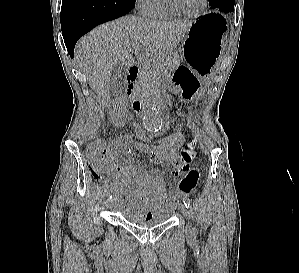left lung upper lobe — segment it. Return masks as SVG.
Instances as JSON below:
<instances>
[{"mask_svg": "<svg viewBox=\"0 0 299 273\" xmlns=\"http://www.w3.org/2000/svg\"><path fill=\"white\" fill-rule=\"evenodd\" d=\"M223 0H209V4L210 6L214 9L217 7V5ZM230 1H234V0H230Z\"/></svg>", "mask_w": 299, "mask_h": 273, "instance_id": "obj_1", "label": "left lung upper lobe"}]
</instances>
